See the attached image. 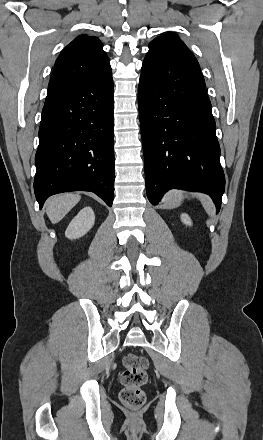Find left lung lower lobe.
Listing matches in <instances>:
<instances>
[{"label": "left lung lower lobe", "mask_w": 263, "mask_h": 440, "mask_svg": "<svg viewBox=\"0 0 263 440\" xmlns=\"http://www.w3.org/2000/svg\"><path fill=\"white\" fill-rule=\"evenodd\" d=\"M138 104L151 204L178 188L209 194L218 212L225 176L200 68L168 47L156 62H143Z\"/></svg>", "instance_id": "obj_1"}]
</instances>
